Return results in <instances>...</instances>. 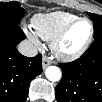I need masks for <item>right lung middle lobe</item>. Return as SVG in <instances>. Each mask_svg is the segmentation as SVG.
<instances>
[{"label":"right lung middle lobe","instance_id":"1","mask_svg":"<svg viewBox=\"0 0 102 102\" xmlns=\"http://www.w3.org/2000/svg\"><path fill=\"white\" fill-rule=\"evenodd\" d=\"M25 15V10L20 3L12 1L8 3H0V23L9 21L16 24L20 23V19Z\"/></svg>","mask_w":102,"mask_h":102}]
</instances>
